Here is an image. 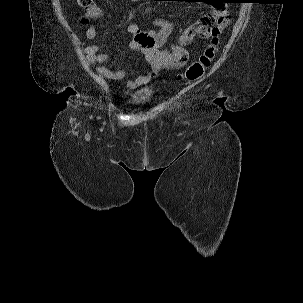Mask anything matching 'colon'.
<instances>
[{
  "label": "colon",
  "instance_id": "1",
  "mask_svg": "<svg viewBox=\"0 0 303 303\" xmlns=\"http://www.w3.org/2000/svg\"><path fill=\"white\" fill-rule=\"evenodd\" d=\"M80 6L87 7L94 3V0H77ZM209 46L200 55L198 60L187 67L182 74V78L188 81H195L202 78L206 69L215 56L216 47L219 43V34H212ZM149 41V39H146Z\"/></svg>",
  "mask_w": 303,
  "mask_h": 303
}]
</instances>
